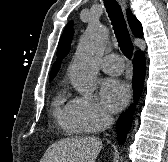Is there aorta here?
Returning a JSON list of instances; mask_svg holds the SVG:
<instances>
[{
	"instance_id": "aorta-1",
	"label": "aorta",
	"mask_w": 168,
	"mask_h": 162,
	"mask_svg": "<svg viewBox=\"0 0 168 162\" xmlns=\"http://www.w3.org/2000/svg\"><path fill=\"white\" fill-rule=\"evenodd\" d=\"M108 39V30L98 22H91L78 45L70 77L75 89L85 97L96 90L98 63Z\"/></svg>"
}]
</instances>
